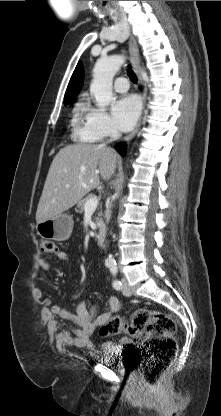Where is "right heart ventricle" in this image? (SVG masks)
Instances as JSON below:
<instances>
[{"mask_svg":"<svg viewBox=\"0 0 221 416\" xmlns=\"http://www.w3.org/2000/svg\"><path fill=\"white\" fill-rule=\"evenodd\" d=\"M85 107L86 105L80 102L77 103L74 108L73 123L75 126V135L76 138H78L82 142H91L93 140L85 134L83 128L80 126V119L85 112Z\"/></svg>","mask_w":221,"mask_h":416,"instance_id":"e07e8e85","label":"right heart ventricle"}]
</instances>
